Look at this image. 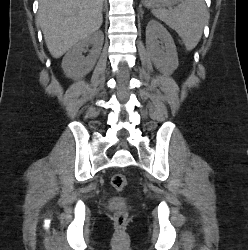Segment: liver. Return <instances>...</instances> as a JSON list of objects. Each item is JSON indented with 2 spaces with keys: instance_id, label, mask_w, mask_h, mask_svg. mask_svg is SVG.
I'll return each instance as SVG.
<instances>
[{
  "instance_id": "obj_1",
  "label": "liver",
  "mask_w": 248,
  "mask_h": 250,
  "mask_svg": "<svg viewBox=\"0 0 248 250\" xmlns=\"http://www.w3.org/2000/svg\"><path fill=\"white\" fill-rule=\"evenodd\" d=\"M103 0H39L37 22L47 48L60 58L102 25Z\"/></svg>"
}]
</instances>
